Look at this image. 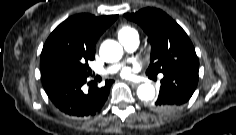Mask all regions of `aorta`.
<instances>
[{"mask_svg": "<svg viewBox=\"0 0 236 135\" xmlns=\"http://www.w3.org/2000/svg\"><path fill=\"white\" fill-rule=\"evenodd\" d=\"M100 57L107 63L117 62L123 55L122 46L114 40H105L99 50ZM137 96L142 101H150L155 97V88L152 84H141L137 89Z\"/></svg>", "mask_w": 236, "mask_h": 135, "instance_id": "762f6f07", "label": "aorta"}]
</instances>
